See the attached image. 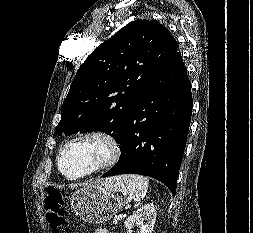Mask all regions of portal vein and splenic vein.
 <instances>
[{
  "label": "portal vein and splenic vein",
  "instance_id": "18ae733b",
  "mask_svg": "<svg viewBox=\"0 0 253 233\" xmlns=\"http://www.w3.org/2000/svg\"><path fill=\"white\" fill-rule=\"evenodd\" d=\"M123 214H120L117 219L113 220V223L116 225L118 223V220L122 218Z\"/></svg>",
  "mask_w": 253,
  "mask_h": 233
}]
</instances>
